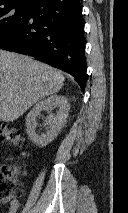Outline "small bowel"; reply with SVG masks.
<instances>
[{
	"label": "small bowel",
	"mask_w": 128,
	"mask_h": 213,
	"mask_svg": "<svg viewBox=\"0 0 128 213\" xmlns=\"http://www.w3.org/2000/svg\"><path fill=\"white\" fill-rule=\"evenodd\" d=\"M20 203L18 200H12L9 202L7 213H17L19 210Z\"/></svg>",
	"instance_id": "obj_1"
}]
</instances>
